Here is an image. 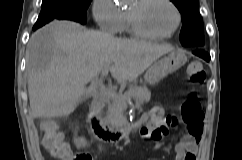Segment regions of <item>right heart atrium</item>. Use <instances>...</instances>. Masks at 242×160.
I'll return each instance as SVG.
<instances>
[{"label": "right heart atrium", "mask_w": 242, "mask_h": 160, "mask_svg": "<svg viewBox=\"0 0 242 160\" xmlns=\"http://www.w3.org/2000/svg\"><path fill=\"white\" fill-rule=\"evenodd\" d=\"M92 16L102 31L110 35L120 32L122 11L113 0H92Z\"/></svg>", "instance_id": "right-heart-atrium-1"}]
</instances>
